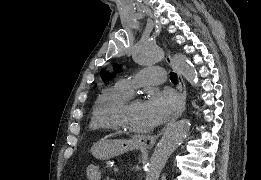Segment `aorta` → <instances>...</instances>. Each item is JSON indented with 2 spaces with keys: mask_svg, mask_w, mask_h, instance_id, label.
I'll return each instance as SVG.
<instances>
[{
  "mask_svg": "<svg viewBox=\"0 0 261 180\" xmlns=\"http://www.w3.org/2000/svg\"><path fill=\"white\" fill-rule=\"evenodd\" d=\"M164 58L162 48L151 43H140L133 50V59L140 65H151ZM176 69L192 85L196 86L198 74L194 66L183 55L176 54L172 59ZM190 120L182 119L171 125L157 144L152 157L146 167L145 180H158L170 155L186 138L190 130Z\"/></svg>",
  "mask_w": 261,
  "mask_h": 180,
  "instance_id": "obj_1",
  "label": "aorta"
}]
</instances>
